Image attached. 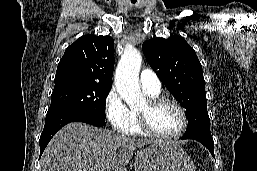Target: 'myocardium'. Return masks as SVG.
Returning <instances> with one entry per match:
<instances>
[{
  "label": "myocardium",
  "instance_id": "1",
  "mask_svg": "<svg viewBox=\"0 0 257 171\" xmlns=\"http://www.w3.org/2000/svg\"><path fill=\"white\" fill-rule=\"evenodd\" d=\"M147 103H148V106L150 109L156 108L157 106L164 104V103L172 104L179 111V113L181 115L182 123H181V127L179 128L178 131H176L172 134H162V133L155 131L152 128V126L150 124L148 112L138 111L139 125H140L141 130L145 134H147L151 137H154V138H158V139H174V138L181 136L185 132L187 125H188V118H187L186 111L184 110V108L181 106V104L178 101H176L175 99L168 97V96L159 95L156 97L149 98Z\"/></svg>",
  "mask_w": 257,
  "mask_h": 171
}]
</instances>
